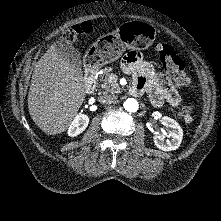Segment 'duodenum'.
Here are the masks:
<instances>
[{"mask_svg":"<svg viewBox=\"0 0 221 221\" xmlns=\"http://www.w3.org/2000/svg\"><path fill=\"white\" fill-rule=\"evenodd\" d=\"M95 72V66L88 63L84 77V84L87 91L92 90L93 86L95 85ZM131 91L134 92V87L131 88Z\"/></svg>","mask_w":221,"mask_h":221,"instance_id":"1","label":"duodenum"}]
</instances>
